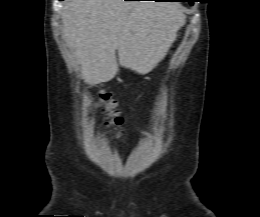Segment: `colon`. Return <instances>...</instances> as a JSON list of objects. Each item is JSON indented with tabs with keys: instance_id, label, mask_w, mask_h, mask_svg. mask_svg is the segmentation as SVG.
I'll return each instance as SVG.
<instances>
[{
	"instance_id": "1",
	"label": "colon",
	"mask_w": 260,
	"mask_h": 217,
	"mask_svg": "<svg viewBox=\"0 0 260 217\" xmlns=\"http://www.w3.org/2000/svg\"><path fill=\"white\" fill-rule=\"evenodd\" d=\"M98 105L107 118V124L113 129L119 138L123 137L124 132L121 128L123 118L116 108V103L108 92H102L99 94Z\"/></svg>"
}]
</instances>
